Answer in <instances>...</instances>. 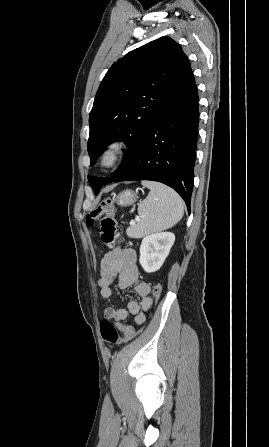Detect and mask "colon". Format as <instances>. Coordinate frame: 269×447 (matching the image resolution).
<instances>
[{
	"instance_id": "5ec220e1",
	"label": "colon",
	"mask_w": 269,
	"mask_h": 447,
	"mask_svg": "<svg viewBox=\"0 0 269 447\" xmlns=\"http://www.w3.org/2000/svg\"><path fill=\"white\" fill-rule=\"evenodd\" d=\"M116 208L110 200H105L99 203L88 215L87 224L89 226H98L100 239L107 246H113L116 244L118 223L115 217ZM162 293V285L157 284L152 291L153 304L159 299ZM145 329L142 327L136 330L131 336H121V332L116 326L109 320H103L100 323V332L103 339L111 344L118 343H130L133 339H136L138 335H141Z\"/></svg>"
}]
</instances>
